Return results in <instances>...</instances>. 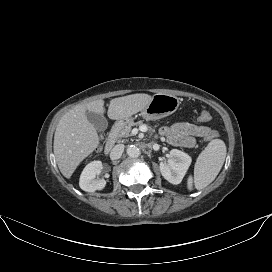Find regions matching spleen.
I'll return each instance as SVG.
<instances>
[{"instance_id": "1", "label": "spleen", "mask_w": 272, "mask_h": 272, "mask_svg": "<svg viewBox=\"0 0 272 272\" xmlns=\"http://www.w3.org/2000/svg\"><path fill=\"white\" fill-rule=\"evenodd\" d=\"M226 157V145L221 139L210 141L207 147L200 153L194 167V178L187 180L189 190H200L209 185L220 172Z\"/></svg>"}]
</instances>
